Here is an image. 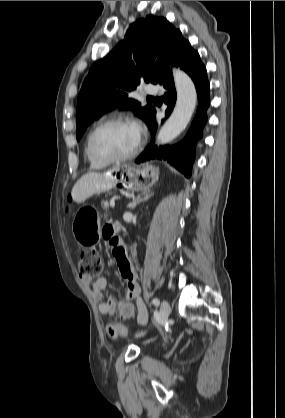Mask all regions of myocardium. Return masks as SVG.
<instances>
[{"mask_svg": "<svg viewBox=\"0 0 285 418\" xmlns=\"http://www.w3.org/2000/svg\"><path fill=\"white\" fill-rule=\"evenodd\" d=\"M113 125H128V122L124 118H121V117L107 118L101 121L100 123H98L92 129V131L90 132L87 138L86 145H87V150L90 156L96 161H99L101 163L113 164V163H119V162L130 160L137 154L138 149H139V139H137L133 149L129 153L122 155V156H113V155H109L98 150L94 143L97 134L104 128L113 126Z\"/></svg>", "mask_w": 285, "mask_h": 418, "instance_id": "obj_1", "label": "myocardium"}]
</instances>
